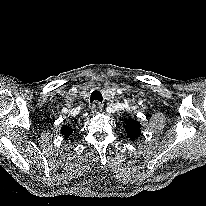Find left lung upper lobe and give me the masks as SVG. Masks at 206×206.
Instances as JSON below:
<instances>
[{
    "mask_svg": "<svg viewBox=\"0 0 206 206\" xmlns=\"http://www.w3.org/2000/svg\"><path fill=\"white\" fill-rule=\"evenodd\" d=\"M125 131L131 140L136 139L141 134L140 123L134 119L126 120Z\"/></svg>",
    "mask_w": 206,
    "mask_h": 206,
    "instance_id": "obj_1",
    "label": "left lung upper lobe"
}]
</instances>
